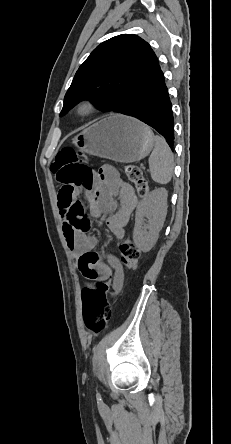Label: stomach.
<instances>
[{"mask_svg": "<svg viewBox=\"0 0 231 444\" xmlns=\"http://www.w3.org/2000/svg\"><path fill=\"white\" fill-rule=\"evenodd\" d=\"M79 150L117 162H137L155 145L150 128L139 120L115 114L106 117L73 138Z\"/></svg>", "mask_w": 231, "mask_h": 444, "instance_id": "0dacf381", "label": "stomach"}]
</instances>
